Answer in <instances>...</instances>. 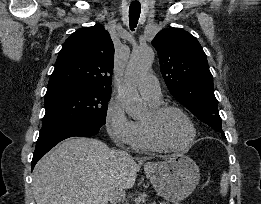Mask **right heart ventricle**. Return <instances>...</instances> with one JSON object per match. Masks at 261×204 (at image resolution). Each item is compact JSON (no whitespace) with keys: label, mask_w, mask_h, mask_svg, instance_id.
Segmentation results:
<instances>
[{"label":"right heart ventricle","mask_w":261,"mask_h":204,"mask_svg":"<svg viewBox=\"0 0 261 204\" xmlns=\"http://www.w3.org/2000/svg\"><path fill=\"white\" fill-rule=\"evenodd\" d=\"M150 106L153 107H157L161 104L160 101L158 102H150L148 101ZM135 133H134V139H133V143L132 146L135 149L138 150H144V151H161L163 150V148H161L160 146H158L150 137L146 126L144 124L143 120L140 121H135Z\"/></svg>","instance_id":"1"}]
</instances>
